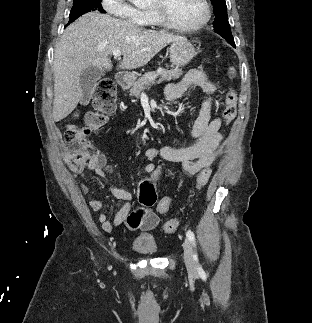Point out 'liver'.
Instances as JSON below:
<instances>
[{
    "label": "liver",
    "mask_w": 312,
    "mask_h": 323,
    "mask_svg": "<svg viewBox=\"0 0 312 323\" xmlns=\"http://www.w3.org/2000/svg\"><path fill=\"white\" fill-rule=\"evenodd\" d=\"M182 36L167 32H152L112 18L108 14L89 12L70 24L56 48L53 68V120L60 122L69 116L82 100L80 76L82 70L97 66L112 70L110 54L120 50L124 58L118 70H134L146 66L162 48L177 42Z\"/></svg>",
    "instance_id": "6515ba94"
}]
</instances>
